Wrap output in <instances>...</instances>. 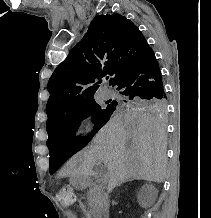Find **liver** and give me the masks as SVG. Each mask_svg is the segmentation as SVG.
I'll return each mask as SVG.
<instances>
[{
	"instance_id": "6515ba94",
	"label": "liver",
	"mask_w": 211,
	"mask_h": 218,
	"mask_svg": "<svg viewBox=\"0 0 211 218\" xmlns=\"http://www.w3.org/2000/svg\"><path fill=\"white\" fill-rule=\"evenodd\" d=\"M104 162L113 182L149 180L164 182L166 136L150 114L119 112L101 128L83 152L75 154L65 168L66 176H91L94 166Z\"/></svg>"
}]
</instances>
